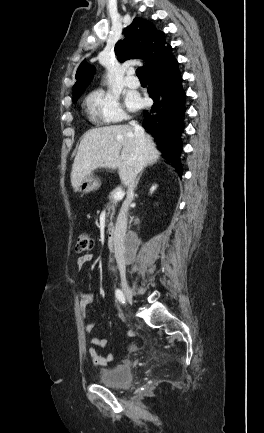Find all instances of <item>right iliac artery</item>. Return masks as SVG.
I'll list each match as a JSON object with an SVG mask.
<instances>
[{"mask_svg": "<svg viewBox=\"0 0 264 433\" xmlns=\"http://www.w3.org/2000/svg\"><path fill=\"white\" fill-rule=\"evenodd\" d=\"M115 296H116V298L118 299L119 302H121L123 304L125 303V296H124L123 292L120 289H117L115 291Z\"/></svg>", "mask_w": 264, "mask_h": 433, "instance_id": "obj_1", "label": "right iliac artery"}]
</instances>
